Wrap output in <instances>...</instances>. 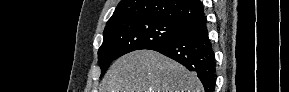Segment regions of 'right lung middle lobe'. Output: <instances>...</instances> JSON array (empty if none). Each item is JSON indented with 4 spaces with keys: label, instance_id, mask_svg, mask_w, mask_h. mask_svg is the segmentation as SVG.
I'll return each instance as SVG.
<instances>
[{
    "label": "right lung middle lobe",
    "instance_id": "1",
    "mask_svg": "<svg viewBox=\"0 0 289 92\" xmlns=\"http://www.w3.org/2000/svg\"><path fill=\"white\" fill-rule=\"evenodd\" d=\"M186 25L159 18H130L108 25L98 51L101 77L118 57L139 49H150L179 35Z\"/></svg>",
    "mask_w": 289,
    "mask_h": 92
}]
</instances>
